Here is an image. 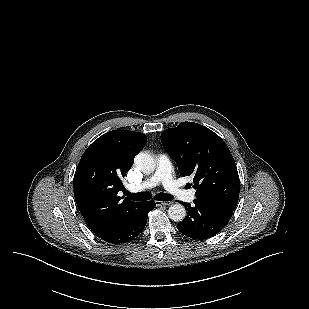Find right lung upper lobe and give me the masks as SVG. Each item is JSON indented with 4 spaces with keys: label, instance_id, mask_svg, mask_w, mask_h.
I'll use <instances>...</instances> for the list:
<instances>
[{
    "label": "right lung upper lobe",
    "instance_id": "1",
    "mask_svg": "<svg viewBox=\"0 0 309 309\" xmlns=\"http://www.w3.org/2000/svg\"><path fill=\"white\" fill-rule=\"evenodd\" d=\"M143 133L113 130L96 139L83 153L73 186L76 204L98 237L112 230L140 202L121 200L122 177L145 146Z\"/></svg>",
    "mask_w": 309,
    "mask_h": 309
}]
</instances>
